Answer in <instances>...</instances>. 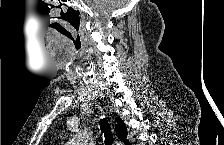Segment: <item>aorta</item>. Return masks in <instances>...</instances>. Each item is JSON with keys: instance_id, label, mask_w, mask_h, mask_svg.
Returning a JSON list of instances; mask_svg holds the SVG:
<instances>
[{"instance_id": "762f6f07", "label": "aorta", "mask_w": 224, "mask_h": 145, "mask_svg": "<svg viewBox=\"0 0 224 145\" xmlns=\"http://www.w3.org/2000/svg\"><path fill=\"white\" fill-rule=\"evenodd\" d=\"M90 142L89 135L86 131H82L74 137L76 145H88Z\"/></svg>"}]
</instances>
